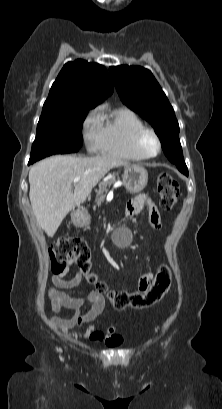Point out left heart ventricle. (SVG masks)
<instances>
[{
  "label": "left heart ventricle",
  "mask_w": 222,
  "mask_h": 409,
  "mask_svg": "<svg viewBox=\"0 0 222 409\" xmlns=\"http://www.w3.org/2000/svg\"><path fill=\"white\" fill-rule=\"evenodd\" d=\"M142 146L147 154H154L157 151V143L151 134H146L142 140Z\"/></svg>",
  "instance_id": "b2bd125f"
}]
</instances>
